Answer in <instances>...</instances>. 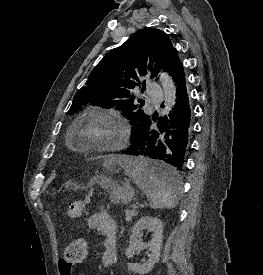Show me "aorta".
Returning a JSON list of instances; mask_svg holds the SVG:
<instances>
[{
  "label": "aorta",
  "mask_w": 263,
  "mask_h": 275,
  "mask_svg": "<svg viewBox=\"0 0 263 275\" xmlns=\"http://www.w3.org/2000/svg\"><path fill=\"white\" fill-rule=\"evenodd\" d=\"M164 97H165V112L169 113L176 103V87L172 78L166 72L159 73Z\"/></svg>",
  "instance_id": "obj_1"
}]
</instances>
